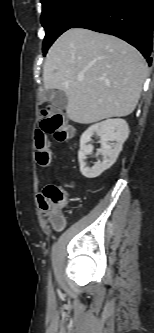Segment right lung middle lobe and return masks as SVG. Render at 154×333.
Returning <instances> with one entry per match:
<instances>
[{
  "instance_id": "dd1d6c3e",
  "label": "right lung middle lobe",
  "mask_w": 154,
  "mask_h": 333,
  "mask_svg": "<svg viewBox=\"0 0 154 333\" xmlns=\"http://www.w3.org/2000/svg\"><path fill=\"white\" fill-rule=\"evenodd\" d=\"M99 0H41L43 10L41 23L46 35L43 55L63 32L81 20Z\"/></svg>"
}]
</instances>
